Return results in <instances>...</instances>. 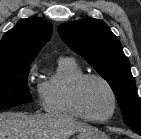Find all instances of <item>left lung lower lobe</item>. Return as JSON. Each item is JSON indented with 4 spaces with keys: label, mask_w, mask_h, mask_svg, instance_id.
<instances>
[{
    "label": "left lung lower lobe",
    "mask_w": 141,
    "mask_h": 139,
    "mask_svg": "<svg viewBox=\"0 0 141 139\" xmlns=\"http://www.w3.org/2000/svg\"><path fill=\"white\" fill-rule=\"evenodd\" d=\"M133 131H135L136 133H138L141 136V129L135 128L133 129Z\"/></svg>",
    "instance_id": "0a47b994"
}]
</instances>
